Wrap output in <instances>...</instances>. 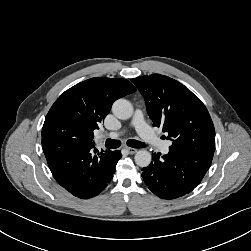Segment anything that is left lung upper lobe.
Returning a JSON list of instances; mask_svg holds the SVG:
<instances>
[{
    "label": "left lung upper lobe",
    "instance_id": "5c2ea615",
    "mask_svg": "<svg viewBox=\"0 0 251 251\" xmlns=\"http://www.w3.org/2000/svg\"><path fill=\"white\" fill-rule=\"evenodd\" d=\"M144 96L153 126L172 141L169 149L215 151V129L200 99L178 81L160 74L131 80Z\"/></svg>",
    "mask_w": 251,
    "mask_h": 251
}]
</instances>
